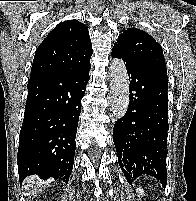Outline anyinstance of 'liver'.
I'll use <instances>...</instances> for the list:
<instances>
[{
  "mask_svg": "<svg viewBox=\"0 0 196 201\" xmlns=\"http://www.w3.org/2000/svg\"><path fill=\"white\" fill-rule=\"evenodd\" d=\"M36 177H28L25 179V189H28L35 181H36Z\"/></svg>",
  "mask_w": 196,
  "mask_h": 201,
  "instance_id": "6515ba94",
  "label": "liver"
}]
</instances>
